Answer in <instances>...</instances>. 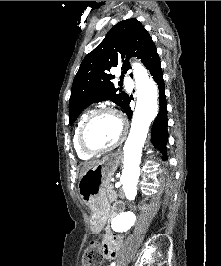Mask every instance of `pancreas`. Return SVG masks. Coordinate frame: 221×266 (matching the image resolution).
I'll use <instances>...</instances> for the list:
<instances>
[{
	"instance_id": "cf45deb5",
	"label": "pancreas",
	"mask_w": 221,
	"mask_h": 266,
	"mask_svg": "<svg viewBox=\"0 0 221 266\" xmlns=\"http://www.w3.org/2000/svg\"><path fill=\"white\" fill-rule=\"evenodd\" d=\"M106 195H107L109 201H111V202H113V201H115L117 199V194L113 190V185L112 184H109L106 187Z\"/></svg>"
}]
</instances>
